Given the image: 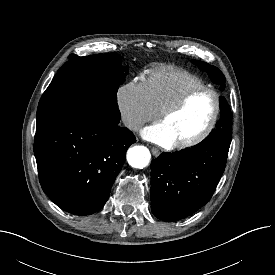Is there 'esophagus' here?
<instances>
[{"instance_id":"34e87169","label":"esophagus","mask_w":275,"mask_h":275,"mask_svg":"<svg viewBox=\"0 0 275 275\" xmlns=\"http://www.w3.org/2000/svg\"><path fill=\"white\" fill-rule=\"evenodd\" d=\"M151 152L155 157H158L160 155V151L155 147L151 148Z\"/></svg>"}]
</instances>
